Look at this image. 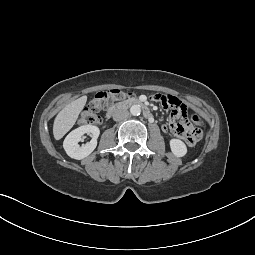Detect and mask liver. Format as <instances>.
Returning a JSON list of instances; mask_svg holds the SVG:
<instances>
[{"mask_svg": "<svg viewBox=\"0 0 255 255\" xmlns=\"http://www.w3.org/2000/svg\"><path fill=\"white\" fill-rule=\"evenodd\" d=\"M86 101V96L80 97L58 113L53 124V135L56 140H60L73 127Z\"/></svg>", "mask_w": 255, "mask_h": 255, "instance_id": "1", "label": "liver"}]
</instances>
